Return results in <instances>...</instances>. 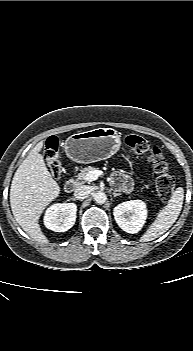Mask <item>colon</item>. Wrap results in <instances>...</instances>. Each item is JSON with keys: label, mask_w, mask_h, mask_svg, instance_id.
I'll use <instances>...</instances> for the list:
<instances>
[{"label": "colon", "mask_w": 193, "mask_h": 351, "mask_svg": "<svg viewBox=\"0 0 193 351\" xmlns=\"http://www.w3.org/2000/svg\"><path fill=\"white\" fill-rule=\"evenodd\" d=\"M126 145L138 155H145L157 174L155 186L162 201H168L175 189V179L170 173L169 165L160 149L152 145L147 139L130 134L125 139ZM43 157L48 164L49 171L54 179H59L62 172L59 159V141L52 136L47 139Z\"/></svg>", "instance_id": "obj_1"}]
</instances>
